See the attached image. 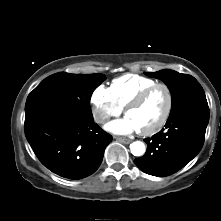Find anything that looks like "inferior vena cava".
I'll return each mask as SVG.
<instances>
[{"mask_svg": "<svg viewBox=\"0 0 221 221\" xmlns=\"http://www.w3.org/2000/svg\"><path fill=\"white\" fill-rule=\"evenodd\" d=\"M103 119H104L103 117L99 118V119H98V122H102Z\"/></svg>", "mask_w": 221, "mask_h": 221, "instance_id": "602c4592", "label": "inferior vena cava"}]
</instances>
